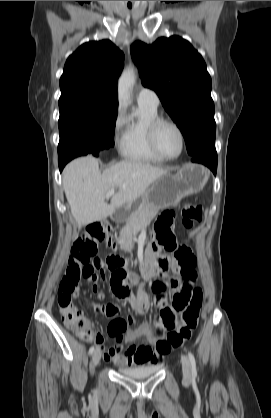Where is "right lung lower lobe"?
Wrapping results in <instances>:
<instances>
[{
    "label": "right lung lower lobe",
    "mask_w": 271,
    "mask_h": 418,
    "mask_svg": "<svg viewBox=\"0 0 271 418\" xmlns=\"http://www.w3.org/2000/svg\"><path fill=\"white\" fill-rule=\"evenodd\" d=\"M96 156H99L100 154L98 152H95ZM73 158H75V156L73 155H61L58 156V163H59V169L60 172L63 170L64 166Z\"/></svg>",
    "instance_id": "right-lung-lower-lobe-1"
}]
</instances>
